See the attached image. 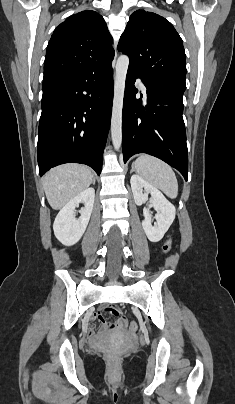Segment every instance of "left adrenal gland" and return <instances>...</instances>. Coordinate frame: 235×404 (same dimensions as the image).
<instances>
[{
	"instance_id": "1",
	"label": "left adrenal gland",
	"mask_w": 235,
	"mask_h": 404,
	"mask_svg": "<svg viewBox=\"0 0 235 404\" xmlns=\"http://www.w3.org/2000/svg\"><path fill=\"white\" fill-rule=\"evenodd\" d=\"M134 171V167H133V165H132V169L130 170V173H132Z\"/></svg>"
}]
</instances>
